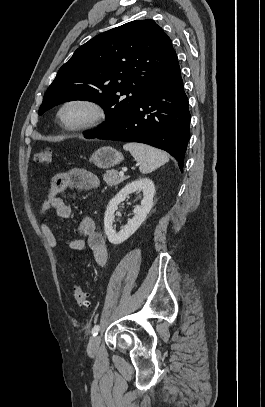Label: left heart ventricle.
<instances>
[{
    "mask_svg": "<svg viewBox=\"0 0 265 407\" xmlns=\"http://www.w3.org/2000/svg\"><path fill=\"white\" fill-rule=\"evenodd\" d=\"M64 116L68 121L76 122L86 116V111L81 107H70L66 110Z\"/></svg>",
    "mask_w": 265,
    "mask_h": 407,
    "instance_id": "obj_1",
    "label": "left heart ventricle"
}]
</instances>
